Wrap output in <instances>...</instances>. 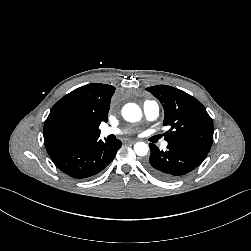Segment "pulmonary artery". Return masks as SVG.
Segmentation results:
<instances>
[{"label": "pulmonary artery", "mask_w": 251, "mask_h": 251, "mask_svg": "<svg viewBox=\"0 0 251 251\" xmlns=\"http://www.w3.org/2000/svg\"><path fill=\"white\" fill-rule=\"evenodd\" d=\"M143 113L148 121H153L155 120L158 115H159V106L155 101H150L147 100L143 104ZM122 132L121 129L116 128V127H104L100 131V135L102 137H107L109 135H117ZM163 147L167 146V142H163L162 144Z\"/></svg>", "instance_id": "1"}]
</instances>
